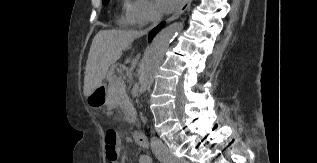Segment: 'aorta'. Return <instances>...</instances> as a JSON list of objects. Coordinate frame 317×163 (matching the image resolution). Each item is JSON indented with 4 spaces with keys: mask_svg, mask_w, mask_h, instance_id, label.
<instances>
[{
    "mask_svg": "<svg viewBox=\"0 0 317 163\" xmlns=\"http://www.w3.org/2000/svg\"><path fill=\"white\" fill-rule=\"evenodd\" d=\"M182 29L183 23H173L153 38L140 67V83L144 92L150 90L167 48Z\"/></svg>",
    "mask_w": 317,
    "mask_h": 163,
    "instance_id": "obj_1",
    "label": "aorta"
}]
</instances>
